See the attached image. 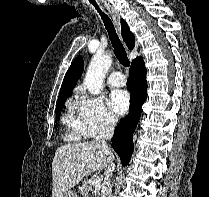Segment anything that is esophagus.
<instances>
[{"instance_id":"esophagus-1","label":"esophagus","mask_w":209,"mask_h":197,"mask_svg":"<svg viewBox=\"0 0 209 197\" xmlns=\"http://www.w3.org/2000/svg\"><path fill=\"white\" fill-rule=\"evenodd\" d=\"M104 6L106 7V9L108 10V12L112 16V19L114 21L116 30H117L119 36L121 37V28H120V20H121V17H120L119 12L113 6H111L110 4H108L106 2L104 3Z\"/></svg>"}]
</instances>
